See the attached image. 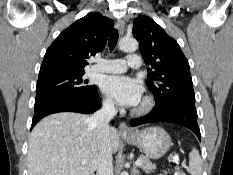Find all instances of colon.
<instances>
[{"label": "colon", "mask_w": 233, "mask_h": 175, "mask_svg": "<svg viewBox=\"0 0 233 175\" xmlns=\"http://www.w3.org/2000/svg\"><path fill=\"white\" fill-rule=\"evenodd\" d=\"M170 163L174 167V175H187L186 172L180 166V157L177 154H173L170 157Z\"/></svg>", "instance_id": "1"}]
</instances>
